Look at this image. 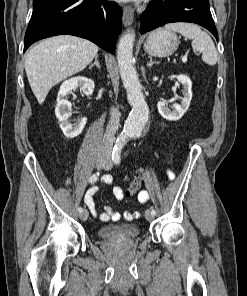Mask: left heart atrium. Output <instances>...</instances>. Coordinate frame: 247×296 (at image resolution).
I'll return each mask as SVG.
<instances>
[{
    "label": "left heart atrium",
    "instance_id": "left-heart-atrium-1",
    "mask_svg": "<svg viewBox=\"0 0 247 296\" xmlns=\"http://www.w3.org/2000/svg\"><path fill=\"white\" fill-rule=\"evenodd\" d=\"M120 1H134V0H120Z\"/></svg>",
    "mask_w": 247,
    "mask_h": 296
}]
</instances>
